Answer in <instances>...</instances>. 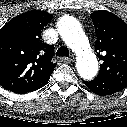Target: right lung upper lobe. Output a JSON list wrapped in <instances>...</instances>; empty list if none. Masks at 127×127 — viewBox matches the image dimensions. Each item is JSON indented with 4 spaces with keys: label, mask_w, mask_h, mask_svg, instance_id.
I'll return each mask as SVG.
<instances>
[{
    "label": "right lung upper lobe",
    "mask_w": 127,
    "mask_h": 127,
    "mask_svg": "<svg viewBox=\"0 0 127 127\" xmlns=\"http://www.w3.org/2000/svg\"><path fill=\"white\" fill-rule=\"evenodd\" d=\"M52 19L46 11L22 13L0 29V85L22 93L45 85L56 66L54 47L44 43L41 30Z\"/></svg>",
    "instance_id": "cb5924a9"
}]
</instances>
